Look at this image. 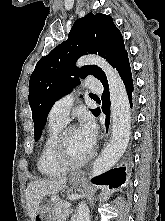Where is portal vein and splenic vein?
Returning a JSON list of instances; mask_svg holds the SVG:
<instances>
[{
  "instance_id": "18ae733b",
  "label": "portal vein and splenic vein",
  "mask_w": 165,
  "mask_h": 221,
  "mask_svg": "<svg viewBox=\"0 0 165 221\" xmlns=\"http://www.w3.org/2000/svg\"><path fill=\"white\" fill-rule=\"evenodd\" d=\"M64 205H65L66 207H70V206H71V204H70L69 202H65Z\"/></svg>"
}]
</instances>
